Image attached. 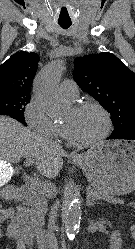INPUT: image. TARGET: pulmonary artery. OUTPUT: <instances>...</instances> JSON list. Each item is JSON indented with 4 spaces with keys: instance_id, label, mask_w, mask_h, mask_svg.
Listing matches in <instances>:
<instances>
[{
    "instance_id": "1",
    "label": "pulmonary artery",
    "mask_w": 135,
    "mask_h": 249,
    "mask_svg": "<svg viewBox=\"0 0 135 249\" xmlns=\"http://www.w3.org/2000/svg\"><path fill=\"white\" fill-rule=\"evenodd\" d=\"M60 92L63 97L68 100L74 101L78 98L79 89L74 80H64L60 85Z\"/></svg>"
}]
</instances>
